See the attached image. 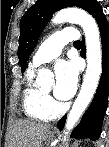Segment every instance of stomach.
<instances>
[{
  "instance_id": "obj_1",
  "label": "stomach",
  "mask_w": 109,
  "mask_h": 147,
  "mask_svg": "<svg viewBox=\"0 0 109 147\" xmlns=\"http://www.w3.org/2000/svg\"><path fill=\"white\" fill-rule=\"evenodd\" d=\"M56 136V131L55 130H50L47 132L46 136H45V141H51L55 138Z\"/></svg>"
}]
</instances>
